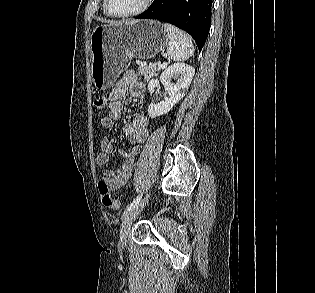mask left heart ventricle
Returning <instances> with one entry per match:
<instances>
[{"label":"left heart ventricle","instance_id":"1","mask_svg":"<svg viewBox=\"0 0 315 293\" xmlns=\"http://www.w3.org/2000/svg\"><path fill=\"white\" fill-rule=\"evenodd\" d=\"M144 2L145 0H110V7L115 13L124 14L137 10Z\"/></svg>","mask_w":315,"mask_h":293}]
</instances>
